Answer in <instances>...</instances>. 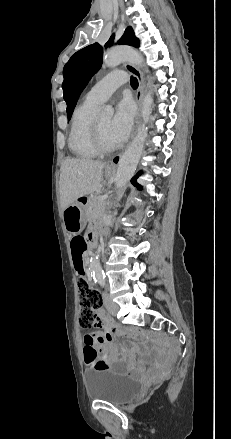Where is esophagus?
I'll use <instances>...</instances> for the list:
<instances>
[{
    "label": "esophagus",
    "mask_w": 231,
    "mask_h": 439,
    "mask_svg": "<svg viewBox=\"0 0 231 439\" xmlns=\"http://www.w3.org/2000/svg\"><path fill=\"white\" fill-rule=\"evenodd\" d=\"M125 68L127 69V71L132 73L138 80V89L136 91V102L138 105V116H137L135 131H134V134H135L137 127H138V124H139L140 110H141V106H142V99H143V92H144L143 76H142L141 71L135 65H133L131 63H126ZM108 167L115 168V164L112 162H109Z\"/></svg>",
    "instance_id": "1"
}]
</instances>
